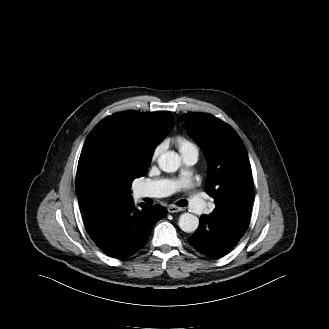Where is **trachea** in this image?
<instances>
[{
    "mask_svg": "<svg viewBox=\"0 0 329 329\" xmlns=\"http://www.w3.org/2000/svg\"><path fill=\"white\" fill-rule=\"evenodd\" d=\"M176 204L178 206L185 207L187 205V201L186 200H180Z\"/></svg>",
    "mask_w": 329,
    "mask_h": 329,
    "instance_id": "obj_1",
    "label": "trachea"
}]
</instances>
